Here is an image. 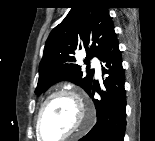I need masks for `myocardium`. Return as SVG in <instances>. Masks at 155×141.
<instances>
[{
    "label": "myocardium",
    "mask_w": 155,
    "mask_h": 141,
    "mask_svg": "<svg viewBox=\"0 0 155 141\" xmlns=\"http://www.w3.org/2000/svg\"><path fill=\"white\" fill-rule=\"evenodd\" d=\"M57 96H66L72 99L74 103L78 106L79 113H80L79 124L71 132L61 137L59 141H65L75 136L76 134L86 130L93 121L94 113L92 111V108L86 103V101L79 94L69 89H59V90L53 91L48 96H46L45 99L42 101L36 116V122H35L36 134L38 138L42 140H45L42 136V132L40 128V121H41L43 110L45 106L48 104V102ZM87 115H88V118L87 120H85Z\"/></svg>",
    "instance_id": "myocardium-1"
}]
</instances>
